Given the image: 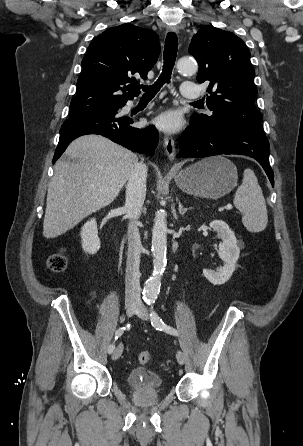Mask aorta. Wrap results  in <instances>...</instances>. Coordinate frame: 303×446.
<instances>
[{"mask_svg": "<svg viewBox=\"0 0 303 446\" xmlns=\"http://www.w3.org/2000/svg\"><path fill=\"white\" fill-rule=\"evenodd\" d=\"M177 69L182 74H194L198 70V65L192 60L182 58L177 63ZM166 250V214L158 211L152 229L153 272L152 276L146 281L143 290V296L146 300H155L160 292L161 277L167 264Z\"/></svg>", "mask_w": 303, "mask_h": 446, "instance_id": "obj_1", "label": "aorta"}]
</instances>
